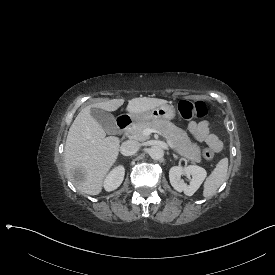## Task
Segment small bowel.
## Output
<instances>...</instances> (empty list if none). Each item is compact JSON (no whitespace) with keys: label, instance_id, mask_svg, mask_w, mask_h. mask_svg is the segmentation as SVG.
<instances>
[{"label":"small bowel","instance_id":"c3829d8e","mask_svg":"<svg viewBox=\"0 0 275 275\" xmlns=\"http://www.w3.org/2000/svg\"><path fill=\"white\" fill-rule=\"evenodd\" d=\"M188 128L199 143L208 145L216 152L222 149L221 140L216 135L210 133L209 123L207 121H202L200 123L190 122Z\"/></svg>","mask_w":275,"mask_h":275}]
</instances>
